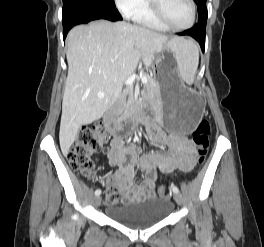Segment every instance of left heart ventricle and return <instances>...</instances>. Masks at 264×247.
<instances>
[{
  "label": "left heart ventricle",
  "mask_w": 264,
  "mask_h": 247,
  "mask_svg": "<svg viewBox=\"0 0 264 247\" xmlns=\"http://www.w3.org/2000/svg\"><path fill=\"white\" fill-rule=\"evenodd\" d=\"M162 11L167 20L177 26L189 23L191 6L188 0H161Z\"/></svg>",
  "instance_id": "b2bd125f"
}]
</instances>
